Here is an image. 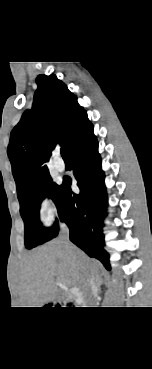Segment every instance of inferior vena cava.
<instances>
[{"label": "inferior vena cava", "instance_id": "inferior-vena-cava-1", "mask_svg": "<svg viewBox=\"0 0 152 369\" xmlns=\"http://www.w3.org/2000/svg\"><path fill=\"white\" fill-rule=\"evenodd\" d=\"M59 240L65 245L69 253H73V245L69 242V229L66 224H61ZM83 300L88 304V307H93L94 296L97 294V286L95 278L91 274H86L82 286L80 287Z\"/></svg>", "mask_w": 152, "mask_h": 369}]
</instances>
